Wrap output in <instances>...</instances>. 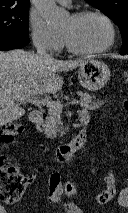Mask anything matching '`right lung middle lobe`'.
I'll list each match as a JSON object with an SVG mask.
<instances>
[{
  "label": "right lung middle lobe",
  "instance_id": "dd1d6c3e",
  "mask_svg": "<svg viewBox=\"0 0 128 213\" xmlns=\"http://www.w3.org/2000/svg\"><path fill=\"white\" fill-rule=\"evenodd\" d=\"M28 11L26 6H0V39L29 42Z\"/></svg>",
  "mask_w": 128,
  "mask_h": 213
}]
</instances>
